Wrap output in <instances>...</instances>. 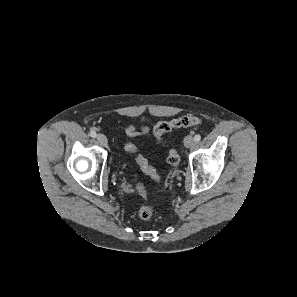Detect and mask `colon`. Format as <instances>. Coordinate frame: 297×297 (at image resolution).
Segmentation results:
<instances>
[{"label": "colon", "instance_id": "colon-1", "mask_svg": "<svg viewBox=\"0 0 297 297\" xmlns=\"http://www.w3.org/2000/svg\"><path fill=\"white\" fill-rule=\"evenodd\" d=\"M198 124H200V120L194 116L189 115L170 120L159 121L154 127V136L156 140L160 142L163 139V135L171 131L172 129L191 127ZM124 149L128 153L136 154V160L144 173L155 180L160 179L159 174L152 166L149 165L147 159L138 154L135 145L128 143L125 145ZM167 161L172 166H177L180 163L179 153L175 149H170L167 156ZM136 189L145 200L139 207L138 215L142 220H149L154 214L153 206L150 204V202L147 201V194L143 185L138 184L136 186Z\"/></svg>", "mask_w": 297, "mask_h": 297}]
</instances>
